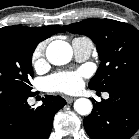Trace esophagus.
I'll use <instances>...</instances> for the list:
<instances>
[{
    "mask_svg": "<svg viewBox=\"0 0 139 139\" xmlns=\"http://www.w3.org/2000/svg\"><path fill=\"white\" fill-rule=\"evenodd\" d=\"M65 99H66L67 103H72L75 100L74 97H69V96L66 97Z\"/></svg>",
    "mask_w": 139,
    "mask_h": 139,
    "instance_id": "obj_1",
    "label": "esophagus"
}]
</instances>
